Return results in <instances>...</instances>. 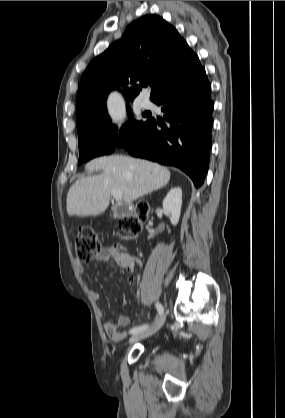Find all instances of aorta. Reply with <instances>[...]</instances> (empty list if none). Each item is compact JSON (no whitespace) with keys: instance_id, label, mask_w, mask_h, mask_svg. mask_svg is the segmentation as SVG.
Wrapping results in <instances>:
<instances>
[{"instance_id":"obj_1","label":"aorta","mask_w":285,"mask_h":418,"mask_svg":"<svg viewBox=\"0 0 285 418\" xmlns=\"http://www.w3.org/2000/svg\"><path fill=\"white\" fill-rule=\"evenodd\" d=\"M110 116L114 121H120L124 117L122 99L117 93H112L107 101Z\"/></svg>"}]
</instances>
